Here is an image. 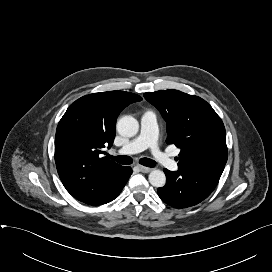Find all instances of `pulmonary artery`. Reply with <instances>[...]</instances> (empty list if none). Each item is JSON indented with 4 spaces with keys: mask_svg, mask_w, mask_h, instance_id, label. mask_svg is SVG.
Segmentation results:
<instances>
[{
    "mask_svg": "<svg viewBox=\"0 0 272 272\" xmlns=\"http://www.w3.org/2000/svg\"><path fill=\"white\" fill-rule=\"evenodd\" d=\"M140 124L139 135L121 147L119 152L129 155L150 149L155 160L160 165L171 171L178 170V164L158 147V125L155 113L152 111L144 112L141 116Z\"/></svg>",
    "mask_w": 272,
    "mask_h": 272,
    "instance_id": "e3ab8cb5",
    "label": "pulmonary artery"
}]
</instances>
